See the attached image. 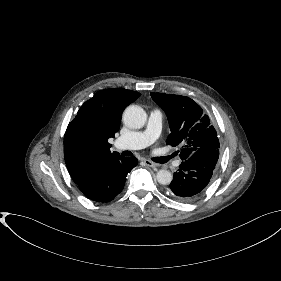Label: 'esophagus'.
Instances as JSON below:
<instances>
[{"label":"esophagus","instance_id":"1","mask_svg":"<svg viewBox=\"0 0 281 281\" xmlns=\"http://www.w3.org/2000/svg\"><path fill=\"white\" fill-rule=\"evenodd\" d=\"M144 163L149 166V167H152V168H155L157 167L158 165L150 160H144Z\"/></svg>","mask_w":281,"mask_h":281}]
</instances>
